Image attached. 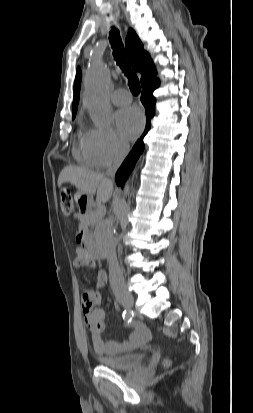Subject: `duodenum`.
I'll return each instance as SVG.
<instances>
[{
  "label": "duodenum",
  "instance_id": "1",
  "mask_svg": "<svg viewBox=\"0 0 253 413\" xmlns=\"http://www.w3.org/2000/svg\"><path fill=\"white\" fill-rule=\"evenodd\" d=\"M81 209L83 213L86 211L87 209L86 203H83V204L81 203ZM77 240L79 243L82 244L83 252L87 257L94 259V260L103 259L104 253L102 249L87 239L86 233L84 230L78 233Z\"/></svg>",
  "mask_w": 253,
  "mask_h": 413
}]
</instances>
